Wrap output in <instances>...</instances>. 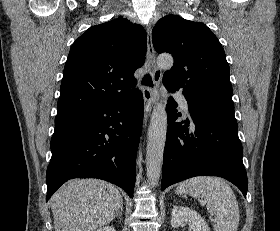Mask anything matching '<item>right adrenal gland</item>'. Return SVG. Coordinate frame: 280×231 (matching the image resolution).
I'll use <instances>...</instances> for the list:
<instances>
[{"mask_svg": "<svg viewBox=\"0 0 280 231\" xmlns=\"http://www.w3.org/2000/svg\"><path fill=\"white\" fill-rule=\"evenodd\" d=\"M122 211H123V203H121L120 209H119V211H117V213H115L114 217H120V219H121Z\"/></svg>", "mask_w": 280, "mask_h": 231, "instance_id": "2a0ac1e0", "label": "right adrenal gland"}]
</instances>
